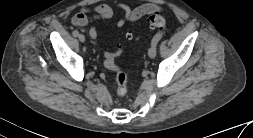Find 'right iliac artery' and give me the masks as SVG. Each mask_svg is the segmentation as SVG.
Listing matches in <instances>:
<instances>
[{"label":"right iliac artery","mask_w":253,"mask_h":138,"mask_svg":"<svg viewBox=\"0 0 253 138\" xmlns=\"http://www.w3.org/2000/svg\"><path fill=\"white\" fill-rule=\"evenodd\" d=\"M79 35V32L77 30L73 31V36L77 37Z\"/></svg>","instance_id":"1"}]
</instances>
